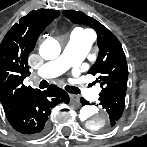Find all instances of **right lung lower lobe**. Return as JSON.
Wrapping results in <instances>:
<instances>
[{"label": "right lung lower lobe", "mask_w": 147, "mask_h": 147, "mask_svg": "<svg viewBox=\"0 0 147 147\" xmlns=\"http://www.w3.org/2000/svg\"><path fill=\"white\" fill-rule=\"evenodd\" d=\"M69 103V96L56 85L38 91L26 104L6 115L8 122L18 132L38 136L46 129L52 108L59 103Z\"/></svg>", "instance_id": "right-lung-lower-lobe-1"}]
</instances>
